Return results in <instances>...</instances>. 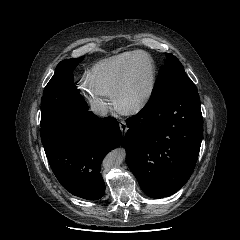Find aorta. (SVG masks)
Here are the masks:
<instances>
[{
	"label": "aorta",
	"mask_w": 240,
	"mask_h": 240,
	"mask_svg": "<svg viewBox=\"0 0 240 240\" xmlns=\"http://www.w3.org/2000/svg\"><path fill=\"white\" fill-rule=\"evenodd\" d=\"M126 158L125 148L119 147L112 150L105 159V164L110 167H117L122 164Z\"/></svg>",
	"instance_id": "obj_1"
}]
</instances>
